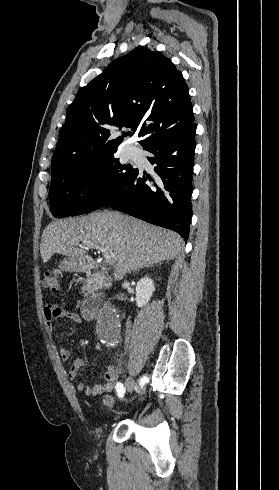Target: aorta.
Instances as JSON below:
<instances>
[{"mask_svg": "<svg viewBox=\"0 0 279 490\" xmlns=\"http://www.w3.org/2000/svg\"><path fill=\"white\" fill-rule=\"evenodd\" d=\"M119 327L120 323L115 310L109 306H104L100 310L97 323L99 336L105 341L112 342L116 340L119 335Z\"/></svg>", "mask_w": 279, "mask_h": 490, "instance_id": "obj_1", "label": "aorta"}]
</instances>
